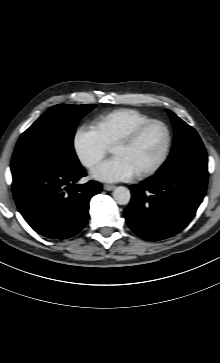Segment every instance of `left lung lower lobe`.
<instances>
[{"label":"left lung lower lobe","mask_w":220,"mask_h":363,"mask_svg":"<svg viewBox=\"0 0 220 363\" xmlns=\"http://www.w3.org/2000/svg\"><path fill=\"white\" fill-rule=\"evenodd\" d=\"M207 155H189L162 166L151 178L130 186L124 215L139 237L158 241L179 233L191 221L207 187Z\"/></svg>","instance_id":"obj_1"}]
</instances>
